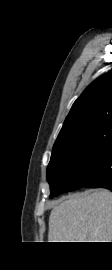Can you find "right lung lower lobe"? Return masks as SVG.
Returning <instances> with one entry per match:
<instances>
[{
	"mask_svg": "<svg viewBox=\"0 0 112 270\" xmlns=\"http://www.w3.org/2000/svg\"><path fill=\"white\" fill-rule=\"evenodd\" d=\"M81 187L106 188L112 191V143L89 165Z\"/></svg>",
	"mask_w": 112,
	"mask_h": 270,
	"instance_id": "1",
	"label": "right lung lower lobe"
}]
</instances>
